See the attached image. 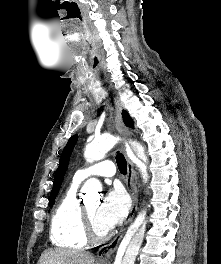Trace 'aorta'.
<instances>
[{"label":"aorta","instance_id":"aorta-1","mask_svg":"<svg viewBox=\"0 0 221 264\" xmlns=\"http://www.w3.org/2000/svg\"><path fill=\"white\" fill-rule=\"evenodd\" d=\"M114 140L110 137L100 138L90 142L84 151L86 161L93 162L104 158L105 154L112 149ZM133 151L145 163L148 161L144 147L135 142L132 145ZM101 185L96 179H89L85 182L83 190L87 195L97 193ZM146 231V222L133 225L123 238L114 264H134L139 253Z\"/></svg>","mask_w":221,"mask_h":264}]
</instances>
